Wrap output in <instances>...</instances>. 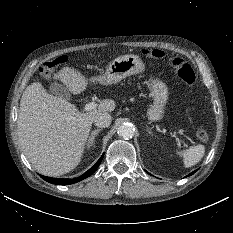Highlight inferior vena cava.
<instances>
[{
	"label": "inferior vena cava",
	"instance_id": "602c4592",
	"mask_svg": "<svg viewBox=\"0 0 233 233\" xmlns=\"http://www.w3.org/2000/svg\"><path fill=\"white\" fill-rule=\"evenodd\" d=\"M93 121L97 127L106 128L111 124L112 117L109 113L103 112L97 114Z\"/></svg>",
	"mask_w": 233,
	"mask_h": 233
}]
</instances>
